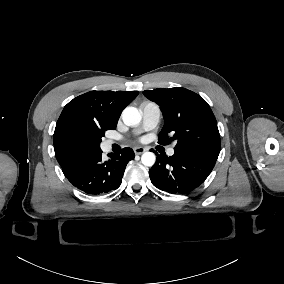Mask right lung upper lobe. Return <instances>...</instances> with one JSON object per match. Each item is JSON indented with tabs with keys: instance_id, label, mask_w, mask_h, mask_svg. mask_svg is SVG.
I'll list each match as a JSON object with an SVG mask.
<instances>
[{
	"instance_id": "1",
	"label": "right lung upper lobe",
	"mask_w": 284,
	"mask_h": 284,
	"mask_svg": "<svg viewBox=\"0 0 284 284\" xmlns=\"http://www.w3.org/2000/svg\"><path fill=\"white\" fill-rule=\"evenodd\" d=\"M138 91H90L71 100L63 109L54 131L55 156L61 167L100 150L95 140L117 126L123 109ZM87 132L89 135H82Z\"/></svg>"
}]
</instances>
